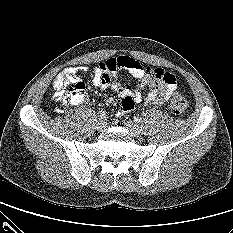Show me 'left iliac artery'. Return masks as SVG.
I'll list each match as a JSON object with an SVG mask.
<instances>
[{"label": "left iliac artery", "mask_w": 233, "mask_h": 233, "mask_svg": "<svg viewBox=\"0 0 233 233\" xmlns=\"http://www.w3.org/2000/svg\"><path fill=\"white\" fill-rule=\"evenodd\" d=\"M134 121L140 123L141 122V118L140 117H134Z\"/></svg>", "instance_id": "obj_1"}]
</instances>
